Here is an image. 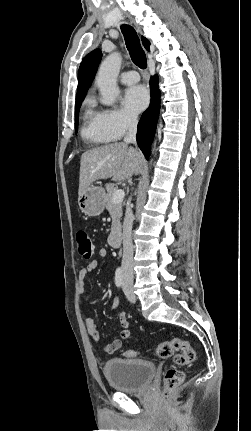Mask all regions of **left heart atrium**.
Segmentation results:
<instances>
[{
	"mask_svg": "<svg viewBox=\"0 0 251 431\" xmlns=\"http://www.w3.org/2000/svg\"><path fill=\"white\" fill-rule=\"evenodd\" d=\"M123 104L132 113L141 112L148 104L147 90L142 85L129 87L124 93Z\"/></svg>",
	"mask_w": 251,
	"mask_h": 431,
	"instance_id": "left-heart-atrium-1",
	"label": "left heart atrium"
}]
</instances>
